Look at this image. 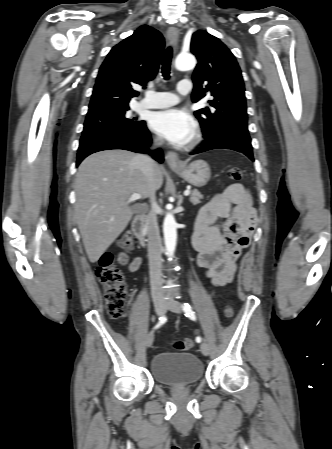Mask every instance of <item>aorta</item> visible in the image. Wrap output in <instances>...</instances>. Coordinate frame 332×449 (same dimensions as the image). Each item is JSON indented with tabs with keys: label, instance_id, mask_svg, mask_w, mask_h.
I'll return each instance as SVG.
<instances>
[{
	"label": "aorta",
	"instance_id": "obj_1",
	"mask_svg": "<svg viewBox=\"0 0 332 449\" xmlns=\"http://www.w3.org/2000/svg\"><path fill=\"white\" fill-rule=\"evenodd\" d=\"M196 59L191 54H179L175 60V67L179 71L194 69ZM163 234L166 253L168 257L173 256L177 241V224L172 214L168 213L163 222Z\"/></svg>",
	"mask_w": 332,
	"mask_h": 449
}]
</instances>
